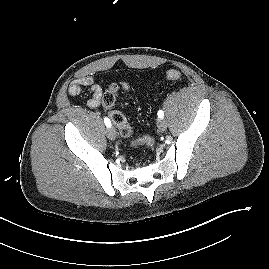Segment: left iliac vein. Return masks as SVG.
<instances>
[{
    "mask_svg": "<svg viewBox=\"0 0 269 269\" xmlns=\"http://www.w3.org/2000/svg\"><path fill=\"white\" fill-rule=\"evenodd\" d=\"M167 121L163 118H160L157 122V127L160 131H165L167 129Z\"/></svg>",
    "mask_w": 269,
    "mask_h": 269,
    "instance_id": "obj_1",
    "label": "left iliac vein"
}]
</instances>
